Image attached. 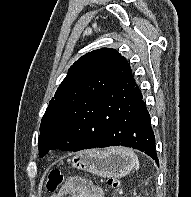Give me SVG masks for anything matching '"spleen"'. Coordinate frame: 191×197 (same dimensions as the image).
Segmentation results:
<instances>
[{"label": "spleen", "instance_id": "3e777b00", "mask_svg": "<svg viewBox=\"0 0 191 197\" xmlns=\"http://www.w3.org/2000/svg\"><path fill=\"white\" fill-rule=\"evenodd\" d=\"M119 151L125 156H128L129 158H131L134 162H137L138 158L132 150L127 149V148H121L119 149Z\"/></svg>", "mask_w": 191, "mask_h": 197}]
</instances>
